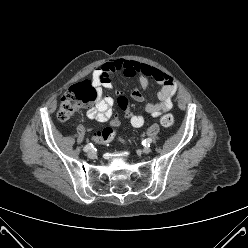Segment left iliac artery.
Returning a JSON list of instances; mask_svg holds the SVG:
<instances>
[{
  "label": "left iliac artery",
  "instance_id": "obj_1",
  "mask_svg": "<svg viewBox=\"0 0 248 248\" xmlns=\"http://www.w3.org/2000/svg\"><path fill=\"white\" fill-rule=\"evenodd\" d=\"M152 143V139L148 138L142 141V145L145 147H150V144Z\"/></svg>",
  "mask_w": 248,
  "mask_h": 248
}]
</instances>
